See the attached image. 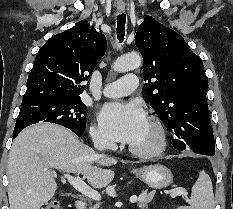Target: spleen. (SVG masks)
Returning <instances> with one entry per match:
<instances>
[{"label":"spleen","instance_id":"1","mask_svg":"<svg viewBox=\"0 0 233 209\" xmlns=\"http://www.w3.org/2000/svg\"><path fill=\"white\" fill-rule=\"evenodd\" d=\"M178 209H214L212 181L204 170L199 172V177L192 187L190 205L180 206Z\"/></svg>","mask_w":233,"mask_h":209}]
</instances>
